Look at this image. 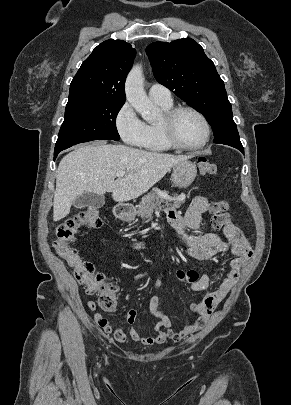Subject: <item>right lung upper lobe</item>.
<instances>
[{"instance_id": "1", "label": "right lung upper lobe", "mask_w": 291, "mask_h": 405, "mask_svg": "<svg viewBox=\"0 0 291 405\" xmlns=\"http://www.w3.org/2000/svg\"><path fill=\"white\" fill-rule=\"evenodd\" d=\"M136 51L123 40H106L82 63L69 91L73 104L85 101L125 102L124 84Z\"/></svg>"}]
</instances>
